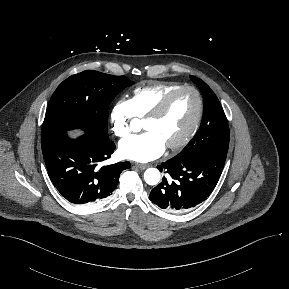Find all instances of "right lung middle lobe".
<instances>
[{
	"label": "right lung middle lobe",
	"instance_id": "dd1d6c3e",
	"mask_svg": "<svg viewBox=\"0 0 289 289\" xmlns=\"http://www.w3.org/2000/svg\"><path fill=\"white\" fill-rule=\"evenodd\" d=\"M134 82L123 76L83 71L64 80L53 93L42 125L41 140L82 129L97 140H109L108 106Z\"/></svg>",
	"mask_w": 289,
	"mask_h": 289
}]
</instances>
